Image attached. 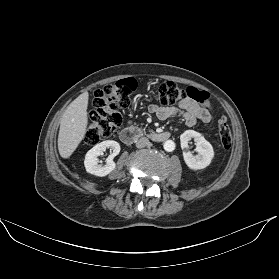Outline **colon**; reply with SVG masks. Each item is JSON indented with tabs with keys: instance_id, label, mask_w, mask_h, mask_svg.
<instances>
[{
	"instance_id": "obj_1",
	"label": "colon",
	"mask_w": 279,
	"mask_h": 279,
	"mask_svg": "<svg viewBox=\"0 0 279 279\" xmlns=\"http://www.w3.org/2000/svg\"><path fill=\"white\" fill-rule=\"evenodd\" d=\"M136 87V81L132 78H127L108 84L95 91L94 109L90 114L84 136L85 145H96L115 132L122 122V116L119 111L129 106L130 97ZM208 97L205 91L194 87L183 89L171 81L162 83L157 90V101L164 107L173 106L185 98H191L208 106ZM217 127L222 146L225 149H230L233 137L227 119L224 116L218 118Z\"/></svg>"
}]
</instances>
